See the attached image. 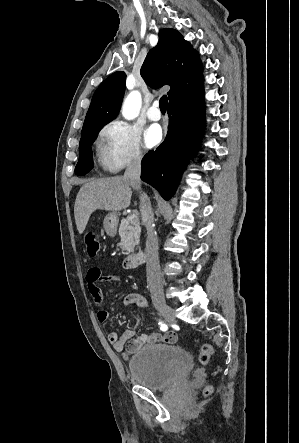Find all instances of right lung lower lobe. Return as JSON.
<instances>
[{
	"label": "right lung lower lobe",
	"mask_w": 299,
	"mask_h": 443,
	"mask_svg": "<svg viewBox=\"0 0 299 443\" xmlns=\"http://www.w3.org/2000/svg\"><path fill=\"white\" fill-rule=\"evenodd\" d=\"M203 76L169 100V126L165 141L148 152L141 163V179L169 200L181 172L198 146L204 128Z\"/></svg>",
	"instance_id": "right-lung-lower-lobe-1"
}]
</instances>
